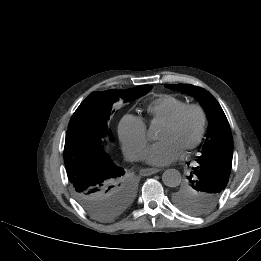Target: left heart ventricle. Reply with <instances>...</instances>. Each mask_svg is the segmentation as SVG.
<instances>
[{
	"instance_id": "1",
	"label": "left heart ventricle",
	"mask_w": 261,
	"mask_h": 261,
	"mask_svg": "<svg viewBox=\"0 0 261 261\" xmlns=\"http://www.w3.org/2000/svg\"><path fill=\"white\" fill-rule=\"evenodd\" d=\"M200 124L198 113L191 110L185 114L181 122L176 126L164 125L159 133L158 139H172L178 146L183 148L189 144L197 134Z\"/></svg>"
}]
</instances>
